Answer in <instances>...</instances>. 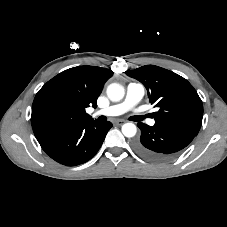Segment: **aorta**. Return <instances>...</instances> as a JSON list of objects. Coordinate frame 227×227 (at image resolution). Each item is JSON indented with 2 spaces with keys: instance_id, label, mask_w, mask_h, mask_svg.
<instances>
[{
  "instance_id": "obj_1",
  "label": "aorta",
  "mask_w": 227,
  "mask_h": 227,
  "mask_svg": "<svg viewBox=\"0 0 227 227\" xmlns=\"http://www.w3.org/2000/svg\"><path fill=\"white\" fill-rule=\"evenodd\" d=\"M107 96L113 102H118L124 97V88L118 83H112L107 87ZM137 128L133 123H125L122 126V133L125 137L131 138L136 135Z\"/></svg>"
}]
</instances>
